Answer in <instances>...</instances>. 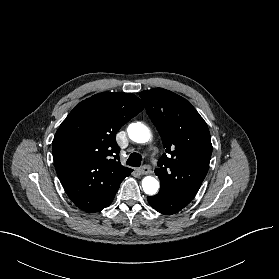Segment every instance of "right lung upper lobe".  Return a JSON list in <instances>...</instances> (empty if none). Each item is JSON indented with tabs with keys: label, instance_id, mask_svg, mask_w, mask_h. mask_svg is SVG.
<instances>
[{
	"label": "right lung upper lobe",
	"instance_id": "right-lung-upper-lobe-1",
	"mask_svg": "<svg viewBox=\"0 0 279 279\" xmlns=\"http://www.w3.org/2000/svg\"><path fill=\"white\" fill-rule=\"evenodd\" d=\"M144 109L132 93L103 92L80 102L61 123L52 151L58 178L73 203L99 212L132 169L118 161L116 133Z\"/></svg>",
	"mask_w": 279,
	"mask_h": 279
}]
</instances>
